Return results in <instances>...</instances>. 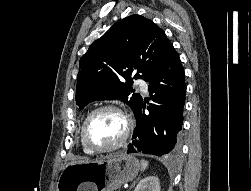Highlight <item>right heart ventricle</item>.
<instances>
[{
  "instance_id": "right-heart-ventricle-1",
  "label": "right heart ventricle",
  "mask_w": 251,
  "mask_h": 191,
  "mask_svg": "<svg viewBox=\"0 0 251 191\" xmlns=\"http://www.w3.org/2000/svg\"><path fill=\"white\" fill-rule=\"evenodd\" d=\"M79 146H80V149H81V151H82L83 153H85V154H87V155H91V154H89L87 151H85V150L83 149V147H82L80 141H79Z\"/></svg>"
}]
</instances>
